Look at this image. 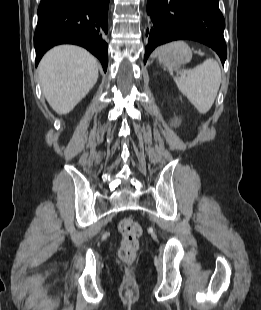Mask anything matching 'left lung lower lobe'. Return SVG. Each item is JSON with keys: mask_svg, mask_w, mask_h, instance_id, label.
Segmentation results:
<instances>
[{"mask_svg": "<svg viewBox=\"0 0 261 310\" xmlns=\"http://www.w3.org/2000/svg\"><path fill=\"white\" fill-rule=\"evenodd\" d=\"M219 0H148L152 25L146 31L148 44L144 63L159 45L178 39L202 42L217 52L224 64L227 48L223 37L225 20Z\"/></svg>", "mask_w": 261, "mask_h": 310, "instance_id": "obj_1", "label": "left lung lower lobe"}]
</instances>
